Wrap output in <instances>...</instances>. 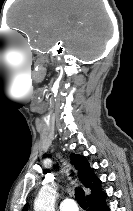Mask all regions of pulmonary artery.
I'll return each instance as SVG.
<instances>
[{
	"mask_svg": "<svg viewBox=\"0 0 133 211\" xmlns=\"http://www.w3.org/2000/svg\"><path fill=\"white\" fill-rule=\"evenodd\" d=\"M60 211H78L76 202L71 198H66L60 203Z\"/></svg>",
	"mask_w": 133,
	"mask_h": 211,
	"instance_id": "obj_1",
	"label": "pulmonary artery"
}]
</instances>
